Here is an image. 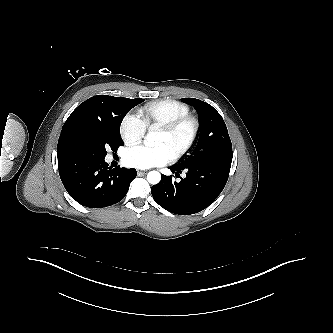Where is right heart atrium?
I'll return each instance as SVG.
<instances>
[{
  "label": "right heart atrium",
  "mask_w": 333,
  "mask_h": 333,
  "mask_svg": "<svg viewBox=\"0 0 333 333\" xmlns=\"http://www.w3.org/2000/svg\"><path fill=\"white\" fill-rule=\"evenodd\" d=\"M119 132L126 145H134L142 140L146 127L138 115L128 113L121 120Z\"/></svg>",
  "instance_id": "obj_1"
}]
</instances>
